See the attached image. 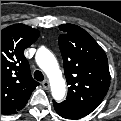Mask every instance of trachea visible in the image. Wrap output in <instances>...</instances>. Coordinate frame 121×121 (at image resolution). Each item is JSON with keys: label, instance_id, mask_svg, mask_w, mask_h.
<instances>
[{"label": "trachea", "instance_id": "trachea-1", "mask_svg": "<svg viewBox=\"0 0 121 121\" xmlns=\"http://www.w3.org/2000/svg\"><path fill=\"white\" fill-rule=\"evenodd\" d=\"M34 78L37 80V81H43V79H44V76H43V74L40 72V71H36L35 73H34Z\"/></svg>", "mask_w": 121, "mask_h": 121}]
</instances>
